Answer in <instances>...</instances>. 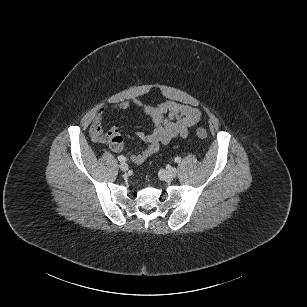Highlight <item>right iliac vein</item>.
I'll use <instances>...</instances> for the list:
<instances>
[{
    "mask_svg": "<svg viewBox=\"0 0 307 307\" xmlns=\"http://www.w3.org/2000/svg\"><path fill=\"white\" fill-rule=\"evenodd\" d=\"M119 168L123 171V172H126L128 170V164L125 163V162H121L120 165H119Z\"/></svg>",
    "mask_w": 307,
    "mask_h": 307,
    "instance_id": "1",
    "label": "right iliac vein"
}]
</instances>
